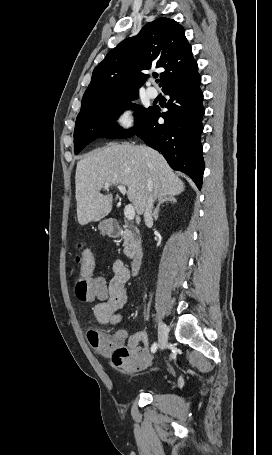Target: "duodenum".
<instances>
[{
	"label": "duodenum",
	"instance_id": "1",
	"mask_svg": "<svg viewBox=\"0 0 272 455\" xmlns=\"http://www.w3.org/2000/svg\"><path fill=\"white\" fill-rule=\"evenodd\" d=\"M121 230V226L117 222H111L108 226V233L113 237L118 236L121 233ZM142 258L143 254L140 250H136L131 256L130 269L133 275H137L139 273L142 265Z\"/></svg>",
	"mask_w": 272,
	"mask_h": 455
}]
</instances>
